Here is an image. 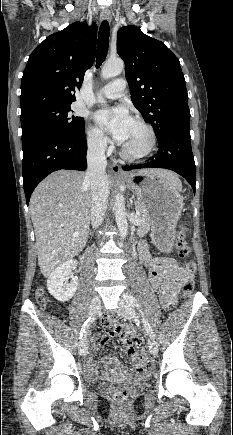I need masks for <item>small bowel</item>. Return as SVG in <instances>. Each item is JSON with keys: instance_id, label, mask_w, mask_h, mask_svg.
Returning <instances> with one entry per match:
<instances>
[{"instance_id": "small-bowel-1", "label": "small bowel", "mask_w": 233, "mask_h": 435, "mask_svg": "<svg viewBox=\"0 0 233 435\" xmlns=\"http://www.w3.org/2000/svg\"><path fill=\"white\" fill-rule=\"evenodd\" d=\"M140 259L149 272V284L159 291V304L162 309L170 308L176 301L181 283L192 278L175 260L165 258L152 259L143 244L139 245ZM105 333L97 335V341L92 345L91 356L87 359L85 367L90 380L97 379L98 375H125L139 377L146 373L147 357L142 359L135 353L133 345L139 346L142 338L137 328L131 324H121L114 319L106 320L103 324ZM112 339L124 344V350L131 357L132 367H125L114 356L102 358L100 367L97 366L94 354L104 345L111 343ZM129 343V344H128Z\"/></svg>"}]
</instances>
